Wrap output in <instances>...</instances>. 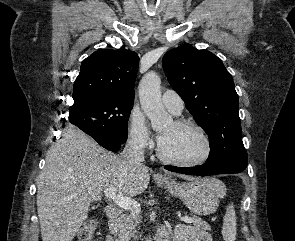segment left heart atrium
I'll use <instances>...</instances> for the list:
<instances>
[{"label":"left heart atrium","mask_w":295,"mask_h":241,"mask_svg":"<svg viewBox=\"0 0 295 241\" xmlns=\"http://www.w3.org/2000/svg\"><path fill=\"white\" fill-rule=\"evenodd\" d=\"M161 139H162V136H160V141H161Z\"/></svg>","instance_id":"39dd6f15"}]
</instances>
